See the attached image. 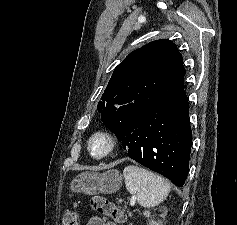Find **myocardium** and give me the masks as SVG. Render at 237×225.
<instances>
[{"instance_id":"f54148a6","label":"myocardium","mask_w":237,"mask_h":225,"mask_svg":"<svg viewBox=\"0 0 237 225\" xmlns=\"http://www.w3.org/2000/svg\"><path fill=\"white\" fill-rule=\"evenodd\" d=\"M97 144L102 145V149L99 152L95 151ZM116 148V140L114 136L107 131H96L93 133L87 142V150L89 155L96 159L102 160L109 157Z\"/></svg>"}]
</instances>
